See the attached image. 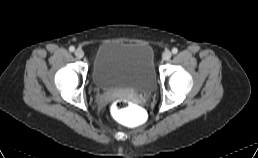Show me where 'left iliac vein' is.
<instances>
[{
	"mask_svg": "<svg viewBox=\"0 0 258 158\" xmlns=\"http://www.w3.org/2000/svg\"><path fill=\"white\" fill-rule=\"evenodd\" d=\"M171 55H172L171 52L167 50L163 52L162 58L163 60L168 61L171 58Z\"/></svg>",
	"mask_w": 258,
	"mask_h": 158,
	"instance_id": "1",
	"label": "left iliac vein"
}]
</instances>
